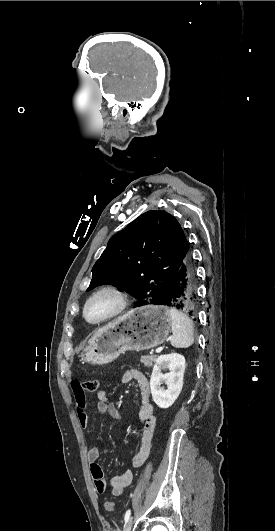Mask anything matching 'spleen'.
<instances>
[{"label":"spleen","instance_id":"obj_1","mask_svg":"<svg viewBox=\"0 0 275 531\" xmlns=\"http://www.w3.org/2000/svg\"><path fill=\"white\" fill-rule=\"evenodd\" d=\"M171 317L172 329V347L176 349H187L194 343V327L193 321L189 319L188 315L177 311V309H169Z\"/></svg>","mask_w":275,"mask_h":531}]
</instances>
